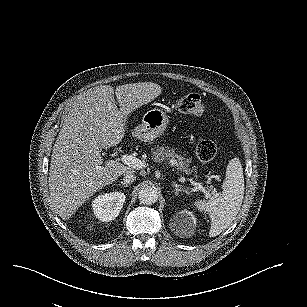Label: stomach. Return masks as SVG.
Returning a JSON list of instances; mask_svg holds the SVG:
<instances>
[{
	"label": "stomach",
	"mask_w": 307,
	"mask_h": 307,
	"mask_svg": "<svg viewBox=\"0 0 307 307\" xmlns=\"http://www.w3.org/2000/svg\"><path fill=\"white\" fill-rule=\"evenodd\" d=\"M168 124V117L160 109H151L142 117V123L130 131V138L148 143L160 137Z\"/></svg>",
	"instance_id": "1"
}]
</instances>
